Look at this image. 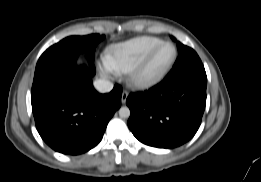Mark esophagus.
Segmentation results:
<instances>
[{
    "mask_svg": "<svg viewBox=\"0 0 261 182\" xmlns=\"http://www.w3.org/2000/svg\"><path fill=\"white\" fill-rule=\"evenodd\" d=\"M127 97H128V91L127 90H123L122 96H121L122 104H125Z\"/></svg>",
    "mask_w": 261,
    "mask_h": 182,
    "instance_id": "esophagus-1",
    "label": "esophagus"
}]
</instances>
